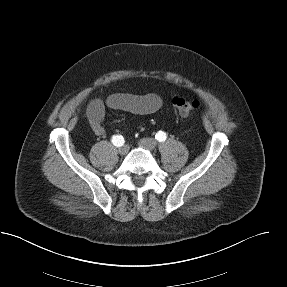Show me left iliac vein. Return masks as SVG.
Masks as SVG:
<instances>
[{
	"mask_svg": "<svg viewBox=\"0 0 287 287\" xmlns=\"http://www.w3.org/2000/svg\"><path fill=\"white\" fill-rule=\"evenodd\" d=\"M139 144L148 150H154L157 142L153 138H142L140 139Z\"/></svg>",
	"mask_w": 287,
	"mask_h": 287,
	"instance_id": "obj_1",
	"label": "left iliac vein"
}]
</instances>
